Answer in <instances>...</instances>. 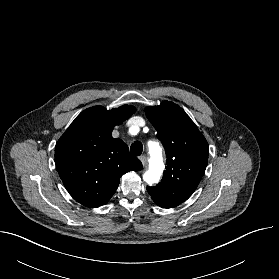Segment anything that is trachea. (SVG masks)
Returning a JSON list of instances; mask_svg holds the SVG:
<instances>
[{
	"label": "trachea",
	"instance_id": "trachea-1",
	"mask_svg": "<svg viewBox=\"0 0 279 279\" xmlns=\"http://www.w3.org/2000/svg\"><path fill=\"white\" fill-rule=\"evenodd\" d=\"M130 151L133 155L139 156L142 154L143 146L140 142H134L130 147Z\"/></svg>",
	"mask_w": 279,
	"mask_h": 279
}]
</instances>
